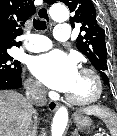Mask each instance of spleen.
<instances>
[{"label": "spleen", "mask_w": 117, "mask_h": 136, "mask_svg": "<svg viewBox=\"0 0 117 136\" xmlns=\"http://www.w3.org/2000/svg\"><path fill=\"white\" fill-rule=\"evenodd\" d=\"M83 112L87 115H94L105 123L111 136H117V115L107 108L96 105L86 107Z\"/></svg>", "instance_id": "obj_1"}]
</instances>
